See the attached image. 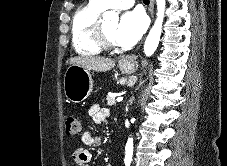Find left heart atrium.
<instances>
[{
	"label": "left heart atrium",
	"instance_id": "39dd6f15",
	"mask_svg": "<svg viewBox=\"0 0 227 166\" xmlns=\"http://www.w3.org/2000/svg\"><path fill=\"white\" fill-rule=\"evenodd\" d=\"M147 17L140 10L124 13L115 29L114 39L122 45L134 44L147 28Z\"/></svg>",
	"mask_w": 227,
	"mask_h": 166
}]
</instances>
